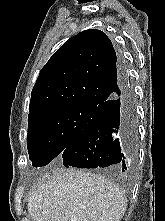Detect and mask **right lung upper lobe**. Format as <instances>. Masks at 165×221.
Here are the masks:
<instances>
[{"instance_id": "right-lung-upper-lobe-1", "label": "right lung upper lobe", "mask_w": 165, "mask_h": 221, "mask_svg": "<svg viewBox=\"0 0 165 221\" xmlns=\"http://www.w3.org/2000/svg\"><path fill=\"white\" fill-rule=\"evenodd\" d=\"M121 84L120 64L110 39L100 30H85L64 43L40 71L29 116L61 106L96 108Z\"/></svg>"}]
</instances>
